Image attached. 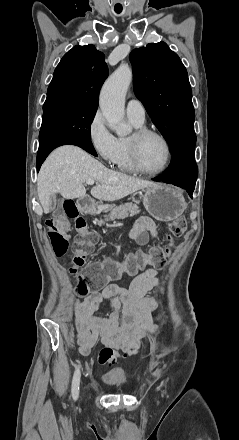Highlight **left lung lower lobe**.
<instances>
[{"mask_svg":"<svg viewBox=\"0 0 239 440\" xmlns=\"http://www.w3.org/2000/svg\"><path fill=\"white\" fill-rule=\"evenodd\" d=\"M195 143L196 140L188 141L177 147L173 152V157L168 171L155 181H163L186 189L192 197L195 188L198 168L195 162Z\"/></svg>","mask_w":239,"mask_h":440,"instance_id":"0a47b994","label":"left lung lower lobe"}]
</instances>
